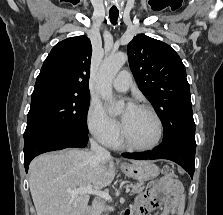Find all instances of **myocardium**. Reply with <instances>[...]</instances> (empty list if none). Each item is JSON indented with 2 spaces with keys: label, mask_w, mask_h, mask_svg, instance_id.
Here are the masks:
<instances>
[{
  "label": "myocardium",
  "mask_w": 223,
  "mask_h": 215,
  "mask_svg": "<svg viewBox=\"0 0 223 215\" xmlns=\"http://www.w3.org/2000/svg\"><path fill=\"white\" fill-rule=\"evenodd\" d=\"M135 108L148 112L152 116V118L154 119L155 124H156V129H157L156 137H155L154 141L150 145H147V146H136V145H133V144H131L130 142L126 141L123 138V131H122L121 125L119 126L118 141H119V143L121 144L122 147H124V148H126L128 150H133V151H149V150H153V149H155L159 145V143L161 141V138H162L163 125H162L161 119L158 116V114L156 113V111L151 106H149L147 104H139Z\"/></svg>",
  "instance_id": "myocardium-1"
}]
</instances>
